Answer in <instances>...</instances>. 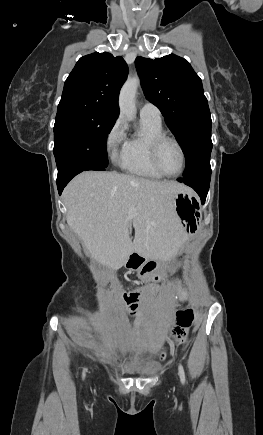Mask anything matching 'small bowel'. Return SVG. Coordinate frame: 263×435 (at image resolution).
Masks as SVG:
<instances>
[{"label":"small bowel","instance_id":"c3829d8e","mask_svg":"<svg viewBox=\"0 0 263 435\" xmlns=\"http://www.w3.org/2000/svg\"><path fill=\"white\" fill-rule=\"evenodd\" d=\"M126 304L128 306V311H129V314L132 317V319L138 320V318L140 316L139 303L132 301V302H127ZM167 348L169 350H174L175 348H177V343H175L174 341H169L167 343ZM164 356H165V353L162 352L159 357H160V359H163Z\"/></svg>","mask_w":263,"mask_h":435}]
</instances>
